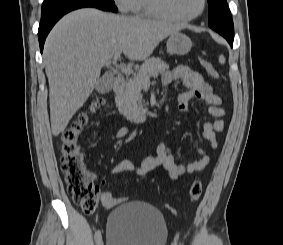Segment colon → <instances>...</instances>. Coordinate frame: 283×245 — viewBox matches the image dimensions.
<instances>
[{"label": "colon", "instance_id": "obj_1", "mask_svg": "<svg viewBox=\"0 0 283 245\" xmlns=\"http://www.w3.org/2000/svg\"><path fill=\"white\" fill-rule=\"evenodd\" d=\"M201 64L207 74L213 79H219L220 73L208 60L201 59ZM103 101L97 100L93 108L99 107ZM87 116L80 115L77 120L64 131L60 144L61 170L64 174L67 191L74 203L86 213L93 212L99 202L108 209L118 206L122 200L113 196L110 191L100 194L99 188L89 178L84 161V154L79 146V138ZM202 184L194 181L189 188V198L196 202L202 195Z\"/></svg>", "mask_w": 283, "mask_h": 245}]
</instances>
